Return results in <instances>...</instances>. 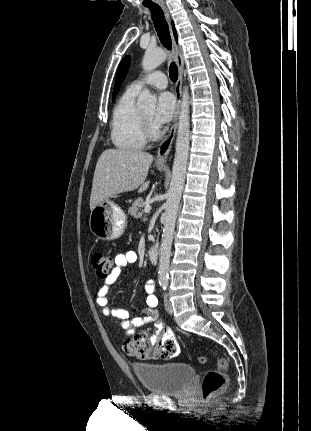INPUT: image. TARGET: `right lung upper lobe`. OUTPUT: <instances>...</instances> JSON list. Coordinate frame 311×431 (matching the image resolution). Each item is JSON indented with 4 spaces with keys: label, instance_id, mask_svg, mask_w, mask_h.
<instances>
[{
    "label": "right lung upper lobe",
    "instance_id": "cb5924a9",
    "mask_svg": "<svg viewBox=\"0 0 311 431\" xmlns=\"http://www.w3.org/2000/svg\"><path fill=\"white\" fill-rule=\"evenodd\" d=\"M172 27H173V32H174L175 39H176V41H177V33H176V30H175V27H174V24H173V23H172Z\"/></svg>",
    "mask_w": 311,
    "mask_h": 431
}]
</instances>
